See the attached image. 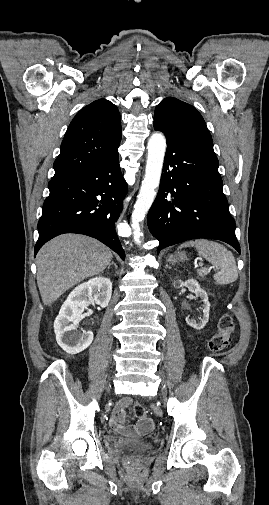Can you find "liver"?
I'll list each match as a JSON object with an SVG mask.
<instances>
[{
    "label": "liver",
    "mask_w": 269,
    "mask_h": 505,
    "mask_svg": "<svg viewBox=\"0 0 269 505\" xmlns=\"http://www.w3.org/2000/svg\"><path fill=\"white\" fill-rule=\"evenodd\" d=\"M111 259L108 247L84 235L64 234L46 243L36 258L37 284L44 305H51L69 288L103 272Z\"/></svg>",
    "instance_id": "obj_1"
}]
</instances>
